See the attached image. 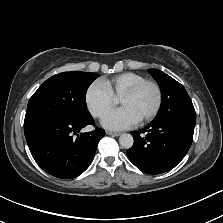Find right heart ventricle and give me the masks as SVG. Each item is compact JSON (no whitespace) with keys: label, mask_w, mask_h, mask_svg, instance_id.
<instances>
[{"label":"right heart ventricle","mask_w":223,"mask_h":223,"mask_svg":"<svg viewBox=\"0 0 223 223\" xmlns=\"http://www.w3.org/2000/svg\"><path fill=\"white\" fill-rule=\"evenodd\" d=\"M143 80L145 78L140 74L126 72L103 79V83L113 97H120L124 92Z\"/></svg>","instance_id":"1"}]
</instances>
